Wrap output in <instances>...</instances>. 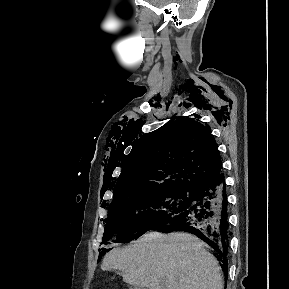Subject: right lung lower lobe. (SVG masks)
Here are the masks:
<instances>
[{"label": "right lung lower lobe", "instance_id": "obj_1", "mask_svg": "<svg viewBox=\"0 0 289 289\" xmlns=\"http://www.w3.org/2000/svg\"><path fill=\"white\" fill-rule=\"evenodd\" d=\"M154 230L166 233L186 231L196 235L214 250L227 279V254L232 233L228 223V201L223 173L197 184L191 190V198L185 210Z\"/></svg>", "mask_w": 289, "mask_h": 289}]
</instances>
